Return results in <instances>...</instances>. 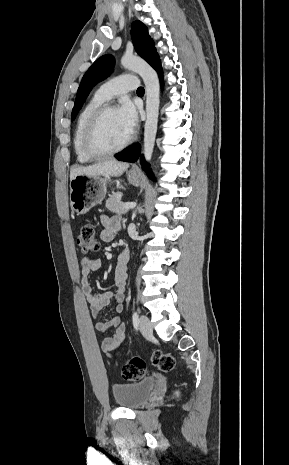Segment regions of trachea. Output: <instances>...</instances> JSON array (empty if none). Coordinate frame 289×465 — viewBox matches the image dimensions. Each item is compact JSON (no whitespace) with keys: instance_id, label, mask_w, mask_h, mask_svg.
<instances>
[{"instance_id":"obj_1","label":"trachea","mask_w":289,"mask_h":465,"mask_svg":"<svg viewBox=\"0 0 289 465\" xmlns=\"http://www.w3.org/2000/svg\"><path fill=\"white\" fill-rule=\"evenodd\" d=\"M137 93H138V94H144V88H143V87H139V88L137 89Z\"/></svg>"}]
</instances>
